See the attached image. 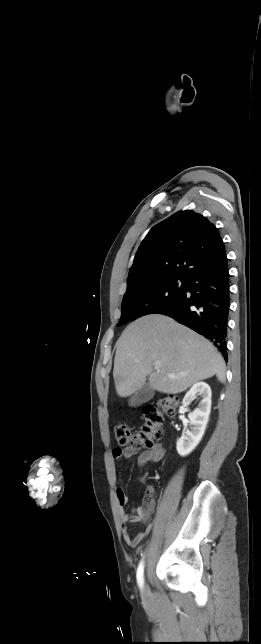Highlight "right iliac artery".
<instances>
[{"instance_id":"right-iliac-artery-1","label":"right iliac artery","mask_w":261,"mask_h":644,"mask_svg":"<svg viewBox=\"0 0 261 644\" xmlns=\"http://www.w3.org/2000/svg\"><path fill=\"white\" fill-rule=\"evenodd\" d=\"M143 573H144V561L141 560L139 563L138 569H137V582L140 588L143 587L144 584V578H143Z\"/></svg>"}]
</instances>
